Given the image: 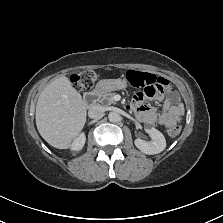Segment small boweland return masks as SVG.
I'll use <instances>...</instances> for the list:
<instances>
[{
	"mask_svg": "<svg viewBox=\"0 0 223 223\" xmlns=\"http://www.w3.org/2000/svg\"><path fill=\"white\" fill-rule=\"evenodd\" d=\"M163 79V78H162ZM166 83L164 91L167 93L162 107V112L157 115L156 110L145 104V99H161L163 92L153 93L150 89L145 88L144 92H138L134 95L130 108L134 110L137 117L147 124H160L166 128H170L180 122L184 108L178 104V96L172 89L169 82L163 79Z\"/></svg>",
	"mask_w": 223,
	"mask_h": 223,
	"instance_id": "1",
	"label": "small bowel"
}]
</instances>
